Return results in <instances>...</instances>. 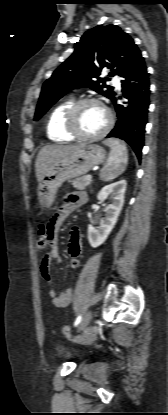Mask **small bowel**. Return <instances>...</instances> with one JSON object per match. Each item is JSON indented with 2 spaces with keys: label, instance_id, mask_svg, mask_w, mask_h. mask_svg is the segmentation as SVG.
I'll return each instance as SVG.
<instances>
[{
  "label": "small bowel",
  "instance_id": "obj_1",
  "mask_svg": "<svg viewBox=\"0 0 168 415\" xmlns=\"http://www.w3.org/2000/svg\"><path fill=\"white\" fill-rule=\"evenodd\" d=\"M87 201V197L84 193H67L64 196L63 204L56 211L53 217L48 223H46L47 237L50 249L42 258L40 264V273L43 279L47 283H51V264L53 262L61 263L62 258L58 249V235L60 227L66 218L77 208L81 207ZM67 252L70 256V267L72 269H78L80 267V261L78 257L82 252V239L79 229L73 226L69 233V242ZM49 295L52 298V302L57 308L67 307L73 298L72 289H66L60 294H57L54 289L50 288Z\"/></svg>",
  "mask_w": 168,
  "mask_h": 415
}]
</instances>
